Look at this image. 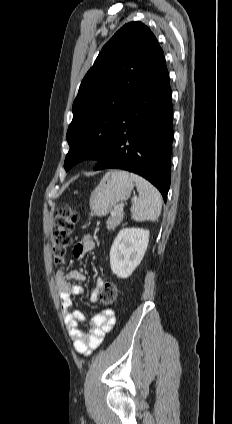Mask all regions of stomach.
<instances>
[{"label": "stomach", "instance_id": "obj_1", "mask_svg": "<svg viewBox=\"0 0 232 424\" xmlns=\"http://www.w3.org/2000/svg\"><path fill=\"white\" fill-rule=\"evenodd\" d=\"M134 187L126 171H108L90 196L91 216H106L119 202L126 201Z\"/></svg>", "mask_w": 232, "mask_h": 424}]
</instances>
